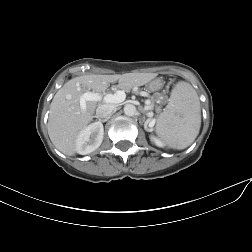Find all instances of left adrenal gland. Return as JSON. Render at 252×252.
<instances>
[{
	"label": "left adrenal gland",
	"instance_id": "1",
	"mask_svg": "<svg viewBox=\"0 0 252 252\" xmlns=\"http://www.w3.org/2000/svg\"><path fill=\"white\" fill-rule=\"evenodd\" d=\"M143 112H145V111H143ZM150 123V119H147L146 121H145V123H144V127L146 128L147 127V125Z\"/></svg>",
	"mask_w": 252,
	"mask_h": 252
}]
</instances>
